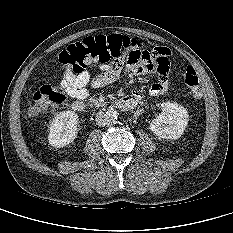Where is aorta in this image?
I'll use <instances>...</instances> for the list:
<instances>
[{
  "instance_id": "obj_1",
  "label": "aorta",
  "mask_w": 233,
  "mask_h": 233,
  "mask_svg": "<svg viewBox=\"0 0 233 233\" xmlns=\"http://www.w3.org/2000/svg\"><path fill=\"white\" fill-rule=\"evenodd\" d=\"M119 113L114 109H109L106 111V117L109 123L115 122L118 119Z\"/></svg>"
}]
</instances>
